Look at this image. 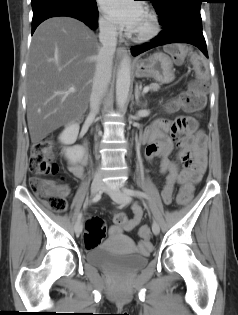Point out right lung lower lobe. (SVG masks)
Wrapping results in <instances>:
<instances>
[{
    "label": "right lung lower lobe",
    "instance_id": "obj_1",
    "mask_svg": "<svg viewBox=\"0 0 238 315\" xmlns=\"http://www.w3.org/2000/svg\"><path fill=\"white\" fill-rule=\"evenodd\" d=\"M31 4L33 9L32 34L41 22L57 16L76 18L91 29L98 26L96 2L95 4L85 5L74 0H31Z\"/></svg>",
    "mask_w": 238,
    "mask_h": 315
}]
</instances>
